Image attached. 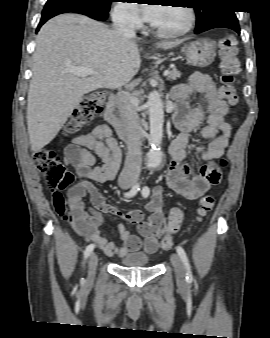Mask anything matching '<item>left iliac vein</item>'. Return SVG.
<instances>
[{"instance_id": "1", "label": "left iliac vein", "mask_w": 270, "mask_h": 338, "mask_svg": "<svg viewBox=\"0 0 270 338\" xmlns=\"http://www.w3.org/2000/svg\"><path fill=\"white\" fill-rule=\"evenodd\" d=\"M170 260L174 267L177 280L182 283L185 280V269L180 256L177 253H173Z\"/></svg>"}]
</instances>
